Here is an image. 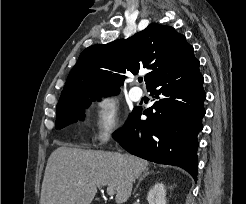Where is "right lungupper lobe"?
<instances>
[{"instance_id":"1","label":"right lung upper lobe","mask_w":246,"mask_h":204,"mask_svg":"<svg viewBox=\"0 0 246 204\" xmlns=\"http://www.w3.org/2000/svg\"><path fill=\"white\" fill-rule=\"evenodd\" d=\"M197 59L193 47L173 27L151 23L129 39L86 48L67 78L60 100L87 94L119 93L127 71L145 76L146 87L177 69L189 66Z\"/></svg>"}]
</instances>
